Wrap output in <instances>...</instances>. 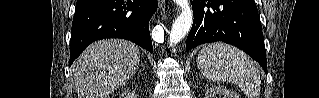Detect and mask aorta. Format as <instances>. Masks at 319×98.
Segmentation results:
<instances>
[{
	"instance_id": "1",
	"label": "aorta",
	"mask_w": 319,
	"mask_h": 98,
	"mask_svg": "<svg viewBox=\"0 0 319 98\" xmlns=\"http://www.w3.org/2000/svg\"><path fill=\"white\" fill-rule=\"evenodd\" d=\"M175 2L180 7L181 13L176 18L169 33L168 42L170 46L178 44L188 34L193 23L190 2L188 0H175Z\"/></svg>"
}]
</instances>
